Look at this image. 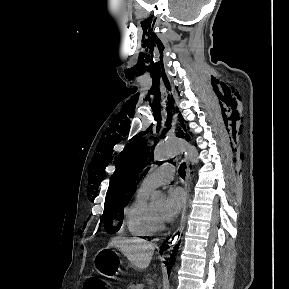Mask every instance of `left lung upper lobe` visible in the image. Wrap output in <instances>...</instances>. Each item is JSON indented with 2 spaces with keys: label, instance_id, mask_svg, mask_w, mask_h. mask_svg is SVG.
<instances>
[{
  "label": "left lung upper lobe",
  "instance_id": "obj_1",
  "mask_svg": "<svg viewBox=\"0 0 289 289\" xmlns=\"http://www.w3.org/2000/svg\"><path fill=\"white\" fill-rule=\"evenodd\" d=\"M178 133L181 137L183 134ZM188 139V137H186ZM146 143L137 141L125 147L117 161V168L112 177L111 188L108 189L102 216L107 232L117 231L119 227H113L115 220H122L123 208L129 203L138 183V173L148 161L149 147ZM151 154L150 159H152ZM137 182V183H136Z\"/></svg>",
  "mask_w": 289,
  "mask_h": 289
}]
</instances>
